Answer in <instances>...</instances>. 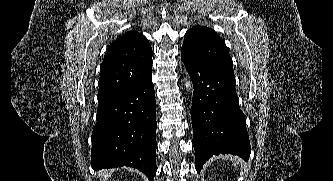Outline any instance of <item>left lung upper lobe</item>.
<instances>
[{"instance_id": "1", "label": "left lung upper lobe", "mask_w": 333, "mask_h": 181, "mask_svg": "<svg viewBox=\"0 0 333 181\" xmlns=\"http://www.w3.org/2000/svg\"><path fill=\"white\" fill-rule=\"evenodd\" d=\"M181 51L234 75L233 62L224 40L210 28L194 26L188 30Z\"/></svg>"}]
</instances>
